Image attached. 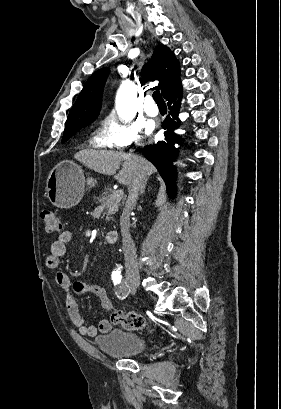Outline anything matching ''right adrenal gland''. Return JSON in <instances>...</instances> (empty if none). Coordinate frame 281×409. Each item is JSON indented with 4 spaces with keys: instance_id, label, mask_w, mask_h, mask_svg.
Listing matches in <instances>:
<instances>
[{
    "instance_id": "right-adrenal-gland-1",
    "label": "right adrenal gland",
    "mask_w": 281,
    "mask_h": 409,
    "mask_svg": "<svg viewBox=\"0 0 281 409\" xmlns=\"http://www.w3.org/2000/svg\"><path fill=\"white\" fill-rule=\"evenodd\" d=\"M146 184H147V178H145L141 188H140V192H145V188H146Z\"/></svg>"
}]
</instances>
